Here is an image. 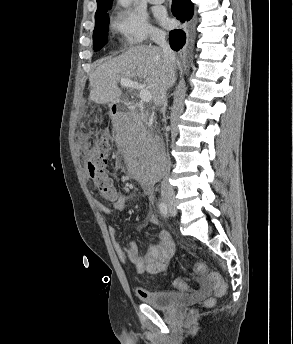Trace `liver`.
<instances>
[{
	"mask_svg": "<svg viewBox=\"0 0 293 344\" xmlns=\"http://www.w3.org/2000/svg\"><path fill=\"white\" fill-rule=\"evenodd\" d=\"M180 67V62L175 61L173 71ZM121 79L143 80L145 88L158 105L167 85L161 49L152 45H139L101 64L89 77L92 86L90 100L98 104L118 102L123 94L118 87ZM174 82L173 73L167 89Z\"/></svg>",
	"mask_w": 293,
	"mask_h": 344,
	"instance_id": "6515ba94",
	"label": "liver"
}]
</instances>
